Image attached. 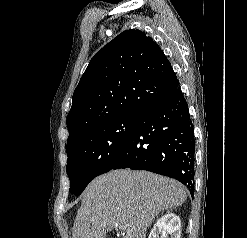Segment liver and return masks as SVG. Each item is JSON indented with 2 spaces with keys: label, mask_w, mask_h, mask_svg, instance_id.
Returning a JSON list of instances; mask_svg holds the SVG:
<instances>
[{
  "label": "liver",
  "mask_w": 247,
  "mask_h": 238,
  "mask_svg": "<svg viewBox=\"0 0 247 238\" xmlns=\"http://www.w3.org/2000/svg\"><path fill=\"white\" fill-rule=\"evenodd\" d=\"M186 198L182 185L173 179L148 171L112 170L85 189L72 238H106L118 226L123 238H146L155 217Z\"/></svg>",
  "instance_id": "6515ba94"
}]
</instances>
